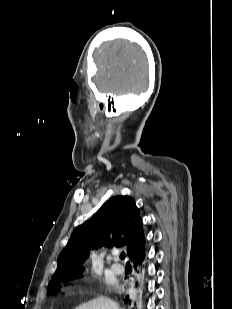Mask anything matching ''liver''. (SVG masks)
<instances>
[{
	"label": "liver",
	"instance_id": "6515ba94",
	"mask_svg": "<svg viewBox=\"0 0 232 309\" xmlns=\"http://www.w3.org/2000/svg\"><path fill=\"white\" fill-rule=\"evenodd\" d=\"M76 309H120L118 304L106 297H98L87 303H84Z\"/></svg>",
	"mask_w": 232,
	"mask_h": 309
}]
</instances>
